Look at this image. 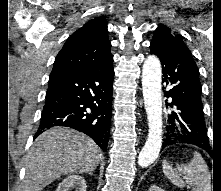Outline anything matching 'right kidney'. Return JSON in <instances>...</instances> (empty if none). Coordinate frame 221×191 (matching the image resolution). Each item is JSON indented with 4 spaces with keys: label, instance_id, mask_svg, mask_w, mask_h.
<instances>
[{
    "label": "right kidney",
    "instance_id": "1",
    "mask_svg": "<svg viewBox=\"0 0 221 191\" xmlns=\"http://www.w3.org/2000/svg\"><path fill=\"white\" fill-rule=\"evenodd\" d=\"M86 187V181L82 176L72 175L65 178L56 191H69L71 188H75L76 191H86Z\"/></svg>",
    "mask_w": 221,
    "mask_h": 191
}]
</instances>
